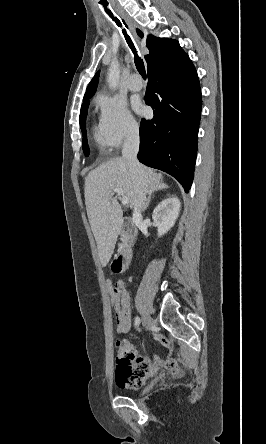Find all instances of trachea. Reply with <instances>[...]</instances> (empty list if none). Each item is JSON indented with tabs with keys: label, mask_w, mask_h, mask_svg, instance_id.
Segmentation results:
<instances>
[{
	"label": "trachea",
	"mask_w": 266,
	"mask_h": 444,
	"mask_svg": "<svg viewBox=\"0 0 266 444\" xmlns=\"http://www.w3.org/2000/svg\"><path fill=\"white\" fill-rule=\"evenodd\" d=\"M102 5L106 8L107 3H102ZM107 13L110 15V17L112 18L113 21H115V23L117 24L118 27L122 28V24L119 21V19L117 17H114L113 14L110 11H107ZM122 33L127 41V44L129 45L132 53L134 54V62L136 65V68L138 70V72L140 73V75L143 78H146V71H145V66H144V62L143 60L138 56L136 48L131 40V38L129 37V35L127 34L126 30L124 28H122Z\"/></svg>",
	"instance_id": "trachea-1"
}]
</instances>
